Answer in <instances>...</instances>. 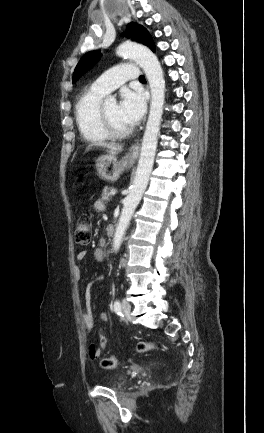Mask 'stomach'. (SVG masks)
<instances>
[{
    "instance_id": "obj_1",
    "label": "stomach",
    "mask_w": 264,
    "mask_h": 433,
    "mask_svg": "<svg viewBox=\"0 0 264 433\" xmlns=\"http://www.w3.org/2000/svg\"><path fill=\"white\" fill-rule=\"evenodd\" d=\"M98 176L108 182H115L120 175L133 165V161L123 158L118 161L114 155H101L95 160Z\"/></svg>"
}]
</instances>
